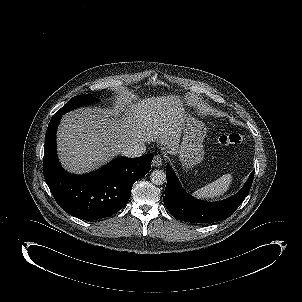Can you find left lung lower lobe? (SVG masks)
<instances>
[{
	"label": "left lung lower lobe",
	"mask_w": 302,
	"mask_h": 302,
	"mask_svg": "<svg viewBox=\"0 0 302 302\" xmlns=\"http://www.w3.org/2000/svg\"><path fill=\"white\" fill-rule=\"evenodd\" d=\"M167 185L164 204L174 218L193 223H209L227 219L239 207L248 195L254 171L249 176L243 188L228 200L209 203L195 199L182 187L169 165L166 169Z\"/></svg>",
	"instance_id": "left-lung-lower-lobe-1"
}]
</instances>
